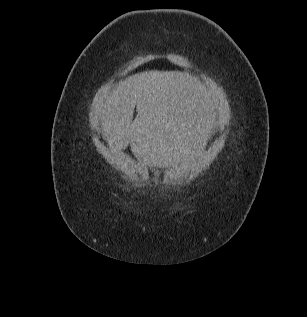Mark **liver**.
Masks as SVG:
<instances>
[{
  "instance_id": "6515ba94",
  "label": "liver",
  "mask_w": 307,
  "mask_h": 317,
  "mask_svg": "<svg viewBox=\"0 0 307 317\" xmlns=\"http://www.w3.org/2000/svg\"><path fill=\"white\" fill-rule=\"evenodd\" d=\"M93 105L110 147L130 144L137 163L161 172L162 167L180 170L182 155L197 158L195 149H206L208 131L220 118L212 111L223 102H211L188 72L152 70L130 76L112 91H99Z\"/></svg>"
}]
</instances>
